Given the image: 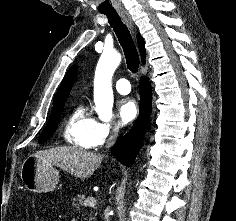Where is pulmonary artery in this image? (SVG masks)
<instances>
[{"instance_id": "obj_1", "label": "pulmonary artery", "mask_w": 236, "mask_h": 221, "mask_svg": "<svg viewBox=\"0 0 236 221\" xmlns=\"http://www.w3.org/2000/svg\"><path fill=\"white\" fill-rule=\"evenodd\" d=\"M115 88L118 93L123 95L128 94L131 91V85L129 81L125 78L118 79L115 82Z\"/></svg>"}]
</instances>
